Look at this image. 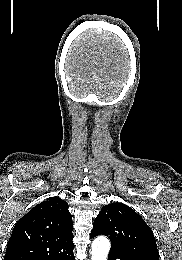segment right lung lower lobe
<instances>
[{
	"mask_svg": "<svg viewBox=\"0 0 182 260\" xmlns=\"http://www.w3.org/2000/svg\"><path fill=\"white\" fill-rule=\"evenodd\" d=\"M44 260H75L73 249L61 252L59 254H56L50 258H45Z\"/></svg>",
	"mask_w": 182,
	"mask_h": 260,
	"instance_id": "obj_1",
	"label": "right lung lower lobe"
}]
</instances>
